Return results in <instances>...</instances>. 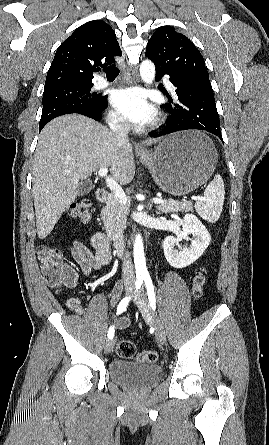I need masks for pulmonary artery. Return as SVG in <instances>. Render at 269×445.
I'll return each mask as SVG.
<instances>
[{
	"label": "pulmonary artery",
	"instance_id": "pulmonary-artery-1",
	"mask_svg": "<svg viewBox=\"0 0 269 445\" xmlns=\"http://www.w3.org/2000/svg\"><path fill=\"white\" fill-rule=\"evenodd\" d=\"M165 84H166V86H167L168 88L173 89V84H172L168 79L165 80ZM108 85H109V82H108L107 80H105V79H99V80L95 83V88H98V89H100V88H105V87H107Z\"/></svg>",
	"mask_w": 269,
	"mask_h": 445
}]
</instances>
